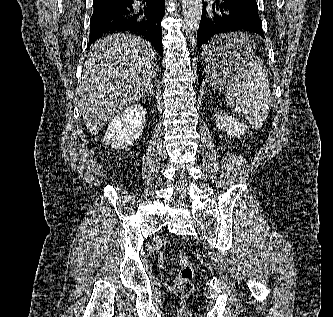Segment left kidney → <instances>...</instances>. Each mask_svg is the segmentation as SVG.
<instances>
[{"label":"left kidney","instance_id":"left-kidney-1","mask_svg":"<svg viewBox=\"0 0 333 317\" xmlns=\"http://www.w3.org/2000/svg\"><path fill=\"white\" fill-rule=\"evenodd\" d=\"M215 120L217 127L220 130L226 132L227 135H230L232 137L239 138L241 135H244L248 130L247 126L244 123L224 112L216 113Z\"/></svg>","mask_w":333,"mask_h":317}]
</instances>
